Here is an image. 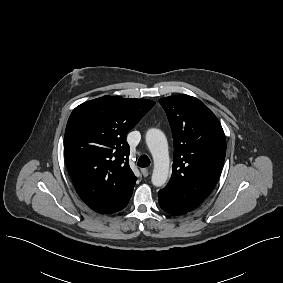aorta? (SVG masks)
Returning a JSON list of instances; mask_svg holds the SVG:
<instances>
[{
  "label": "aorta",
  "instance_id": "aorta-1",
  "mask_svg": "<svg viewBox=\"0 0 283 283\" xmlns=\"http://www.w3.org/2000/svg\"><path fill=\"white\" fill-rule=\"evenodd\" d=\"M146 143L154 161L152 184L156 187L164 186L168 179L170 163L166 136L159 129H149L146 133Z\"/></svg>",
  "mask_w": 283,
  "mask_h": 283
}]
</instances>
